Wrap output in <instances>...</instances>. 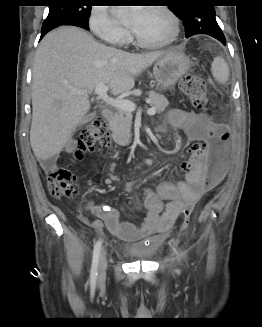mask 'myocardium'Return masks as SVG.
<instances>
[{"label":"myocardium","instance_id":"f54148a6","mask_svg":"<svg viewBox=\"0 0 262 327\" xmlns=\"http://www.w3.org/2000/svg\"><path fill=\"white\" fill-rule=\"evenodd\" d=\"M149 9L163 13L171 23L172 32H171L170 36L168 38H166L165 40L148 41V40H145L142 37H140L134 30H132L131 34H132L134 41L138 45H140L142 47H146V48H163V47H167V46L173 44L174 42H176V40L178 39V37L180 35V31H181L180 21H179V18L177 17V15L169 7L164 6V5H154V6L149 7Z\"/></svg>","mask_w":262,"mask_h":327}]
</instances>
